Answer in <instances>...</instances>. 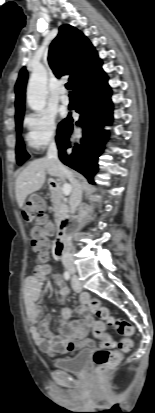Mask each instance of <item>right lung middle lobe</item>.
Returning a JSON list of instances; mask_svg holds the SVG:
<instances>
[{
	"instance_id": "obj_1",
	"label": "right lung middle lobe",
	"mask_w": 155,
	"mask_h": 413,
	"mask_svg": "<svg viewBox=\"0 0 155 413\" xmlns=\"http://www.w3.org/2000/svg\"><path fill=\"white\" fill-rule=\"evenodd\" d=\"M22 120L23 119L16 121V129L18 132L17 144H16V160L19 165L23 164L30 157L29 154L26 152L24 148L23 140L20 137V132L22 129ZM62 122L59 124L58 129L62 125Z\"/></svg>"
}]
</instances>
